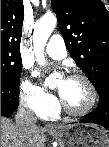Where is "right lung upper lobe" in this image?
Masks as SVG:
<instances>
[{
	"instance_id": "1",
	"label": "right lung upper lobe",
	"mask_w": 109,
	"mask_h": 147,
	"mask_svg": "<svg viewBox=\"0 0 109 147\" xmlns=\"http://www.w3.org/2000/svg\"><path fill=\"white\" fill-rule=\"evenodd\" d=\"M24 6L22 0H1V48L20 52Z\"/></svg>"
}]
</instances>
